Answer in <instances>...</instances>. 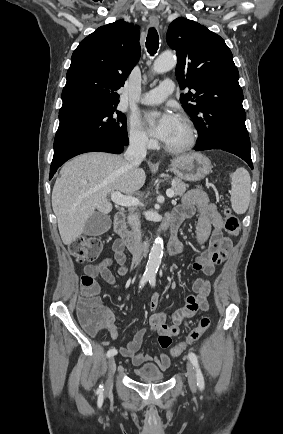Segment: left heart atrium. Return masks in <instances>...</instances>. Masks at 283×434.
Segmentation results:
<instances>
[{"label":"left heart atrium","instance_id":"39dd6f15","mask_svg":"<svg viewBox=\"0 0 283 434\" xmlns=\"http://www.w3.org/2000/svg\"><path fill=\"white\" fill-rule=\"evenodd\" d=\"M148 123L150 132L156 138L167 141L177 126L178 117L171 111L152 112L148 115Z\"/></svg>","mask_w":283,"mask_h":434}]
</instances>
